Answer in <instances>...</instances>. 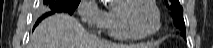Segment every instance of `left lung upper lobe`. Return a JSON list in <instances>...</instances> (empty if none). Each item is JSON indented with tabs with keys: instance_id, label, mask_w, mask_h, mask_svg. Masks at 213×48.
Wrapping results in <instances>:
<instances>
[{
	"instance_id": "1",
	"label": "left lung upper lobe",
	"mask_w": 213,
	"mask_h": 48,
	"mask_svg": "<svg viewBox=\"0 0 213 48\" xmlns=\"http://www.w3.org/2000/svg\"><path fill=\"white\" fill-rule=\"evenodd\" d=\"M171 11L174 24L183 32H185V23L183 19V9L178 0H166Z\"/></svg>"
}]
</instances>
